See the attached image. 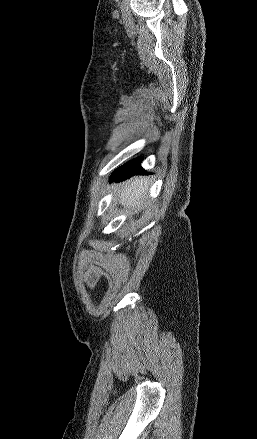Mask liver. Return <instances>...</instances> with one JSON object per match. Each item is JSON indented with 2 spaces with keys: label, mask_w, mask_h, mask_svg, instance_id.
I'll return each mask as SVG.
<instances>
[{
  "label": "liver",
  "mask_w": 257,
  "mask_h": 439,
  "mask_svg": "<svg viewBox=\"0 0 257 439\" xmlns=\"http://www.w3.org/2000/svg\"><path fill=\"white\" fill-rule=\"evenodd\" d=\"M148 181L145 177L127 181L118 191L120 203L127 206L129 210H139L145 204L149 188Z\"/></svg>",
  "instance_id": "obj_1"
}]
</instances>
